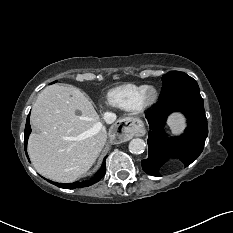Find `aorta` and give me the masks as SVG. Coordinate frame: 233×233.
Here are the masks:
<instances>
[{
	"instance_id": "1",
	"label": "aorta",
	"mask_w": 233,
	"mask_h": 233,
	"mask_svg": "<svg viewBox=\"0 0 233 233\" xmlns=\"http://www.w3.org/2000/svg\"><path fill=\"white\" fill-rule=\"evenodd\" d=\"M129 151L133 154L143 153L146 148V143L143 139L135 138L129 143Z\"/></svg>"
}]
</instances>
